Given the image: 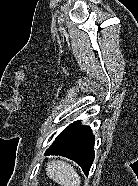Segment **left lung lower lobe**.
<instances>
[{
  "label": "left lung lower lobe",
  "mask_w": 138,
  "mask_h": 186,
  "mask_svg": "<svg viewBox=\"0 0 138 186\" xmlns=\"http://www.w3.org/2000/svg\"><path fill=\"white\" fill-rule=\"evenodd\" d=\"M46 156L60 155L78 163L88 175L94 160V136L89 126L75 121L65 128L46 150Z\"/></svg>",
  "instance_id": "left-lung-lower-lobe-1"
}]
</instances>
